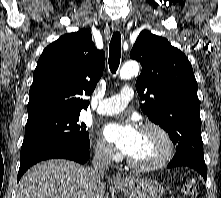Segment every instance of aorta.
<instances>
[{
    "mask_svg": "<svg viewBox=\"0 0 221 198\" xmlns=\"http://www.w3.org/2000/svg\"><path fill=\"white\" fill-rule=\"evenodd\" d=\"M140 66L135 61H130L125 63L122 68L120 69V77L122 79H129L134 77L138 74Z\"/></svg>",
    "mask_w": 221,
    "mask_h": 198,
    "instance_id": "obj_1",
    "label": "aorta"
}]
</instances>
